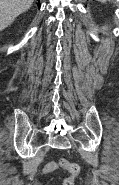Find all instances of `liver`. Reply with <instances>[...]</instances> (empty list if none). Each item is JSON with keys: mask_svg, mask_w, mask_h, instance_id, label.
<instances>
[{"mask_svg": "<svg viewBox=\"0 0 119 185\" xmlns=\"http://www.w3.org/2000/svg\"><path fill=\"white\" fill-rule=\"evenodd\" d=\"M34 0H0V32L10 26L22 13L28 11Z\"/></svg>", "mask_w": 119, "mask_h": 185, "instance_id": "1", "label": "liver"}]
</instances>
